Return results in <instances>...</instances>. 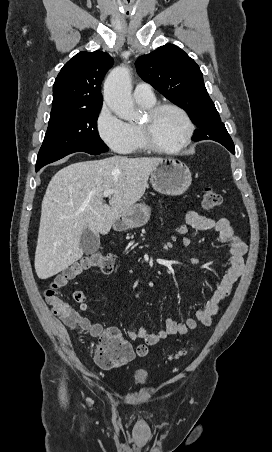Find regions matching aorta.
<instances>
[{
    "mask_svg": "<svg viewBox=\"0 0 272 452\" xmlns=\"http://www.w3.org/2000/svg\"><path fill=\"white\" fill-rule=\"evenodd\" d=\"M104 102L124 120H132L137 113L131 96V77L128 68L120 66L113 69L104 82Z\"/></svg>",
    "mask_w": 272,
    "mask_h": 452,
    "instance_id": "aorta-1",
    "label": "aorta"
}]
</instances>
